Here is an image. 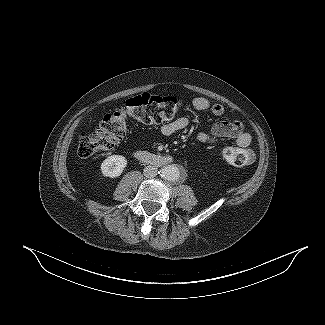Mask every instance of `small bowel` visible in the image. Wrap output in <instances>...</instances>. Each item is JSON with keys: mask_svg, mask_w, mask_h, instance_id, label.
<instances>
[{"mask_svg": "<svg viewBox=\"0 0 325 325\" xmlns=\"http://www.w3.org/2000/svg\"><path fill=\"white\" fill-rule=\"evenodd\" d=\"M192 106L200 111L209 110L215 116H222L225 112V108L222 104H212L208 99L204 97L194 98L192 100ZM189 125L190 119L183 116L163 125L161 132L165 136H170L178 131L187 128ZM217 138L234 139L237 146L248 150L252 161L253 153L250 149H248L251 143V136L243 129L240 121L232 120L216 122L212 125L209 132L201 131L196 136L197 141L204 144H211Z\"/></svg>", "mask_w": 325, "mask_h": 325, "instance_id": "obj_1", "label": "small bowel"}]
</instances>
